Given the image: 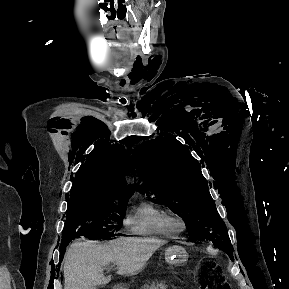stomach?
Returning a JSON list of instances; mask_svg holds the SVG:
<instances>
[{
    "label": "stomach",
    "instance_id": "obj_1",
    "mask_svg": "<svg viewBox=\"0 0 289 289\" xmlns=\"http://www.w3.org/2000/svg\"><path fill=\"white\" fill-rule=\"evenodd\" d=\"M188 254L184 247L173 245L165 250V260L169 264L184 265L187 262Z\"/></svg>",
    "mask_w": 289,
    "mask_h": 289
}]
</instances>
